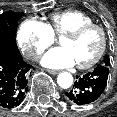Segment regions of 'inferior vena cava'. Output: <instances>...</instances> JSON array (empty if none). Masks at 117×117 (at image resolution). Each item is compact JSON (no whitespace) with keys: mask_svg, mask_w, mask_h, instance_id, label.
<instances>
[{"mask_svg":"<svg viewBox=\"0 0 117 117\" xmlns=\"http://www.w3.org/2000/svg\"><path fill=\"white\" fill-rule=\"evenodd\" d=\"M39 58V55H37L36 53H34L33 55H32V59L33 60H37Z\"/></svg>","mask_w":117,"mask_h":117,"instance_id":"602c4592","label":"inferior vena cava"}]
</instances>
